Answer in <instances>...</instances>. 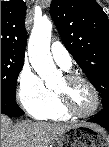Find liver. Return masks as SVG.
Here are the masks:
<instances>
[{
  "mask_svg": "<svg viewBox=\"0 0 109 147\" xmlns=\"http://www.w3.org/2000/svg\"><path fill=\"white\" fill-rule=\"evenodd\" d=\"M91 126L102 129L97 124H52L46 122H20L1 116V147H48L58 136L70 128Z\"/></svg>",
  "mask_w": 109,
  "mask_h": 147,
  "instance_id": "liver-1",
  "label": "liver"
}]
</instances>
